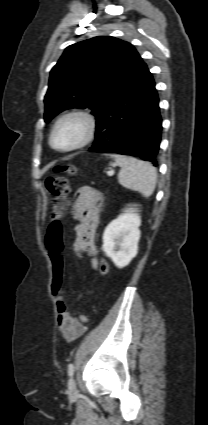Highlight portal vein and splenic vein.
I'll return each mask as SVG.
<instances>
[{
    "instance_id": "obj_1",
    "label": "portal vein and splenic vein",
    "mask_w": 208,
    "mask_h": 425,
    "mask_svg": "<svg viewBox=\"0 0 208 425\" xmlns=\"http://www.w3.org/2000/svg\"><path fill=\"white\" fill-rule=\"evenodd\" d=\"M107 175H108L109 177L113 176V175H114V171H113V170L108 171V172H107Z\"/></svg>"
}]
</instances>
